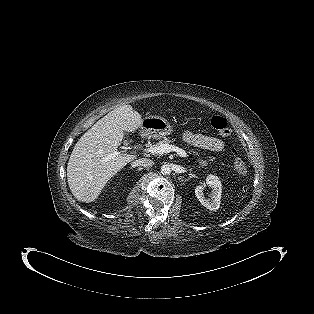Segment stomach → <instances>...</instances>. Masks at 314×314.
I'll list each match as a JSON object with an SVG mask.
<instances>
[{
  "mask_svg": "<svg viewBox=\"0 0 314 314\" xmlns=\"http://www.w3.org/2000/svg\"><path fill=\"white\" fill-rule=\"evenodd\" d=\"M140 128L146 135L154 138H162L170 135L173 132V127L170 123L159 116H148L142 119Z\"/></svg>",
  "mask_w": 314,
  "mask_h": 314,
  "instance_id": "1",
  "label": "stomach"
}]
</instances>
